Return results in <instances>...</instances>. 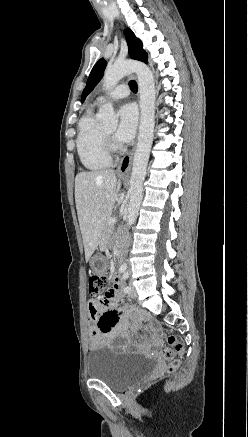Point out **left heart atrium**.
<instances>
[{
  "label": "left heart atrium",
  "mask_w": 248,
  "mask_h": 437,
  "mask_svg": "<svg viewBox=\"0 0 248 437\" xmlns=\"http://www.w3.org/2000/svg\"><path fill=\"white\" fill-rule=\"evenodd\" d=\"M138 122L137 109L133 104H125L119 110V124L115 131V139L119 143H127L134 137Z\"/></svg>",
  "instance_id": "left-heart-atrium-1"
}]
</instances>
